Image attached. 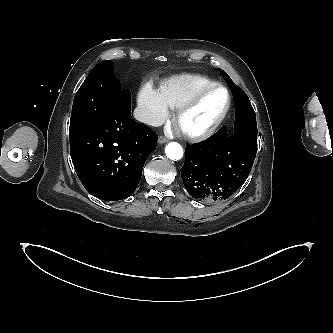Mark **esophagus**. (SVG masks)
Segmentation results:
<instances>
[{"label":"esophagus","mask_w":333,"mask_h":333,"mask_svg":"<svg viewBox=\"0 0 333 333\" xmlns=\"http://www.w3.org/2000/svg\"><path fill=\"white\" fill-rule=\"evenodd\" d=\"M166 142H168V139H167L166 137H164V136H160V137L158 138V143H159V144H163V143H166Z\"/></svg>","instance_id":"1"}]
</instances>
